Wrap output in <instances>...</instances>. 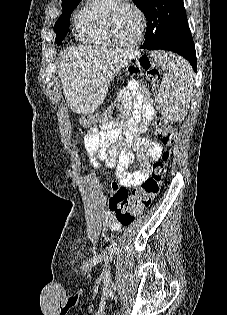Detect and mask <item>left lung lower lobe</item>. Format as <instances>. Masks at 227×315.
<instances>
[{
  "label": "left lung lower lobe",
  "mask_w": 227,
  "mask_h": 315,
  "mask_svg": "<svg viewBox=\"0 0 227 315\" xmlns=\"http://www.w3.org/2000/svg\"><path fill=\"white\" fill-rule=\"evenodd\" d=\"M142 48L173 51L187 59L195 71L197 69L195 46L187 23L169 31L154 42L144 43Z\"/></svg>",
  "instance_id": "obj_1"
}]
</instances>
